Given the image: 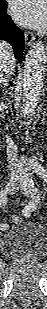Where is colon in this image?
Listing matches in <instances>:
<instances>
[{
	"label": "colon",
	"instance_id": "1",
	"mask_svg": "<svg viewBox=\"0 0 47 309\" xmlns=\"http://www.w3.org/2000/svg\"><path fill=\"white\" fill-rule=\"evenodd\" d=\"M24 214L26 215V216H30V211L29 210H27V209H25L24 210ZM13 220L15 221V222H18L19 220H20V217L19 216H13Z\"/></svg>",
	"mask_w": 47,
	"mask_h": 309
}]
</instances>
